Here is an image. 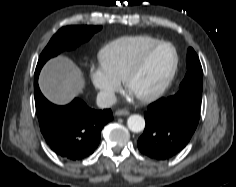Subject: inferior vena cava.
Returning a JSON list of instances; mask_svg holds the SVG:
<instances>
[{
	"label": "inferior vena cava",
	"mask_w": 236,
	"mask_h": 187,
	"mask_svg": "<svg viewBox=\"0 0 236 187\" xmlns=\"http://www.w3.org/2000/svg\"><path fill=\"white\" fill-rule=\"evenodd\" d=\"M97 105L100 108H109L116 103V96L111 92L101 91L97 94Z\"/></svg>",
	"instance_id": "obj_1"
}]
</instances>
